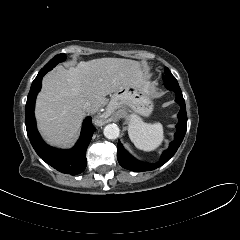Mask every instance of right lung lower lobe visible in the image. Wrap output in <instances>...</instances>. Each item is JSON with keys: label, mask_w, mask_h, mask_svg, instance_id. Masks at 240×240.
<instances>
[{"label": "right lung lower lobe", "mask_w": 240, "mask_h": 240, "mask_svg": "<svg viewBox=\"0 0 240 240\" xmlns=\"http://www.w3.org/2000/svg\"><path fill=\"white\" fill-rule=\"evenodd\" d=\"M51 69L53 68L43 67L31 85L25 110L26 130L34 150L47 164L62 173L77 175L86 168V150L96 129L91 122V117H87L78 142L69 150H59L43 142L37 131L34 107L36 96L42 86V78Z\"/></svg>", "instance_id": "1"}]
</instances>
